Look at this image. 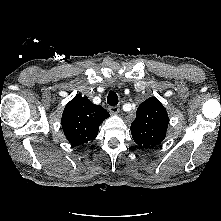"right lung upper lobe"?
I'll list each match as a JSON object with an SVG mask.
<instances>
[{
  "mask_svg": "<svg viewBox=\"0 0 221 221\" xmlns=\"http://www.w3.org/2000/svg\"><path fill=\"white\" fill-rule=\"evenodd\" d=\"M109 116L103 107L77 94L66 105L61 124L67 140L77 146L94 140L98 134L99 125Z\"/></svg>",
  "mask_w": 221,
  "mask_h": 221,
  "instance_id": "obj_1",
  "label": "right lung upper lobe"
}]
</instances>
